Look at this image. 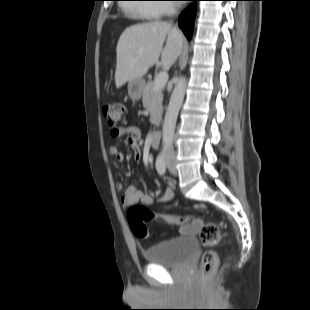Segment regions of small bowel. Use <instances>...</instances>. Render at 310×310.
I'll use <instances>...</instances> for the list:
<instances>
[{
    "label": "small bowel",
    "instance_id": "obj_1",
    "mask_svg": "<svg viewBox=\"0 0 310 310\" xmlns=\"http://www.w3.org/2000/svg\"><path fill=\"white\" fill-rule=\"evenodd\" d=\"M111 135L114 138L125 137L127 142L133 147L134 155L133 159L135 162H140L142 159V152L140 149L141 134L137 127L127 126V127H116L111 128ZM108 152L110 155L114 156L119 162L125 160V154L116 145H110L108 147ZM116 188L121 190L123 184L121 182L116 183ZM174 198V192L172 189H165L160 196L155 198L153 195L144 193L140 191L135 184H130L124 191L121 197V204L124 207H129L133 204L141 202L145 205H151L155 200L158 202H168ZM183 234H191L193 231L190 226H183L181 228Z\"/></svg>",
    "mask_w": 310,
    "mask_h": 310
}]
</instances>
